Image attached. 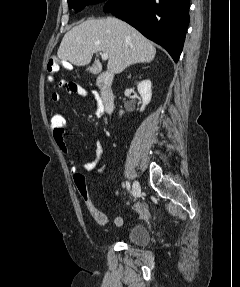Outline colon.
Segmentation results:
<instances>
[{
  "label": "colon",
  "mask_w": 240,
  "mask_h": 287,
  "mask_svg": "<svg viewBox=\"0 0 240 287\" xmlns=\"http://www.w3.org/2000/svg\"><path fill=\"white\" fill-rule=\"evenodd\" d=\"M47 70L50 74H54L58 70V64L54 58L50 59L47 65ZM60 86L65 87L67 90H73L78 85L73 82L61 81ZM66 119L60 112H54L50 117V128L52 133L55 135H62L66 129ZM73 180L78 190V193L87 207L88 211L94 218V220L99 225H107L113 223L116 226H120L123 223L122 218L117 217L113 220H110L104 213L100 212L94 205L91 195L88 191L85 178L80 173H75L73 175Z\"/></svg>",
  "instance_id": "1"
}]
</instances>
